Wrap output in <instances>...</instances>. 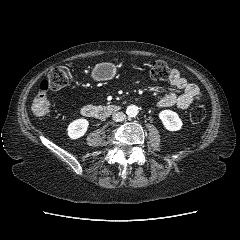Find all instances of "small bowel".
I'll return each instance as SVG.
<instances>
[{
	"instance_id": "obj_1",
	"label": "small bowel",
	"mask_w": 240,
	"mask_h": 240,
	"mask_svg": "<svg viewBox=\"0 0 240 240\" xmlns=\"http://www.w3.org/2000/svg\"><path fill=\"white\" fill-rule=\"evenodd\" d=\"M168 81L181 93L172 91L166 94L157 102L158 108L176 107L179 110H185L193 103L200 101L201 91L199 87L187 81L177 69L170 71Z\"/></svg>"
}]
</instances>
